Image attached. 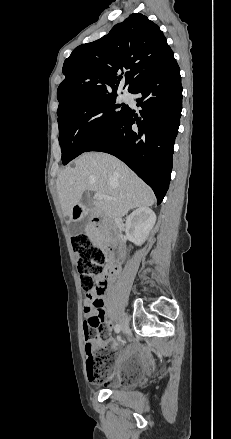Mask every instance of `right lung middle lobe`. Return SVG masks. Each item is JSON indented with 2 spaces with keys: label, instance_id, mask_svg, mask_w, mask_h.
I'll return each instance as SVG.
<instances>
[{
  "label": "right lung middle lobe",
  "instance_id": "dd1d6c3e",
  "mask_svg": "<svg viewBox=\"0 0 231 439\" xmlns=\"http://www.w3.org/2000/svg\"><path fill=\"white\" fill-rule=\"evenodd\" d=\"M116 96L82 101L57 114L64 165L85 152L124 115L128 106L118 104Z\"/></svg>",
  "mask_w": 231,
  "mask_h": 439
}]
</instances>
